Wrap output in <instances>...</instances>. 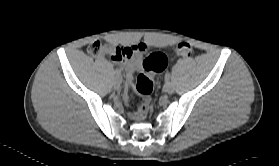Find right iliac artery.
<instances>
[{
    "mask_svg": "<svg viewBox=\"0 0 279 166\" xmlns=\"http://www.w3.org/2000/svg\"><path fill=\"white\" fill-rule=\"evenodd\" d=\"M115 74H116L117 77H120V76H121L120 70H119V69H116V70H115Z\"/></svg>",
    "mask_w": 279,
    "mask_h": 166,
    "instance_id": "82829eb1",
    "label": "right iliac artery"
}]
</instances>
